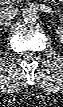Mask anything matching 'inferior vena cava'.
Instances as JSON below:
<instances>
[{
	"label": "inferior vena cava",
	"mask_w": 63,
	"mask_h": 107,
	"mask_svg": "<svg viewBox=\"0 0 63 107\" xmlns=\"http://www.w3.org/2000/svg\"><path fill=\"white\" fill-rule=\"evenodd\" d=\"M18 13V8L9 5L7 7H3L0 10V19L2 21L12 20Z\"/></svg>",
	"instance_id": "1"
}]
</instances>
